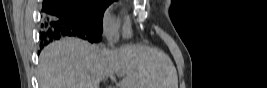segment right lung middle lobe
I'll return each mask as SVG.
<instances>
[{"label": "right lung middle lobe", "instance_id": "obj_1", "mask_svg": "<svg viewBox=\"0 0 267 88\" xmlns=\"http://www.w3.org/2000/svg\"><path fill=\"white\" fill-rule=\"evenodd\" d=\"M114 0H44L43 11L52 17L72 21L87 32L100 36L103 14Z\"/></svg>", "mask_w": 267, "mask_h": 88}]
</instances>
